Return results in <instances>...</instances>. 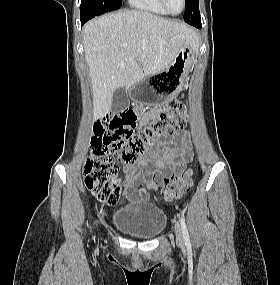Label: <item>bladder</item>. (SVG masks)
<instances>
[{
  "label": "bladder",
  "instance_id": "obj_1",
  "mask_svg": "<svg viewBox=\"0 0 280 285\" xmlns=\"http://www.w3.org/2000/svg\"><path fill=\"white\" fill-rule=\"evenodd\" d=\"M112 225L122 234L138 239H151L161 234L167 225L165 212L150 202L128 203L116 209Z\"/></svg>",
  "mask_w": 280,
  "mask_h": 285
}]
</instances>
